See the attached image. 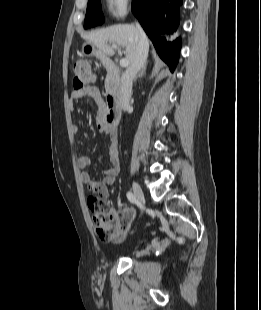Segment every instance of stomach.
<instances>
[{
	"label": "stomach",
	"instance_id": "obj_1",
	"mask_svg": "<svg viewBox=\"0 0 261 310\" xmlns=\"http://www.w3.org/2000/svg\"><path fill=\"white\" fill-rule=\"evenodd\" d=\"M82 53L84 55H96L97 57H100L98 50H96L95 45L89 41H87L83 44Z\"/></svg>",
	"mask_w": 261,
	"mask_h": 310
}]
</instances>
